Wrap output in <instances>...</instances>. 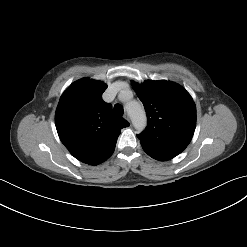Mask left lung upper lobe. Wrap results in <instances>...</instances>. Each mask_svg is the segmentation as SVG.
Listing matches in <instances>:
<instances>
[{
    "instance_id": "obj_1",
    "label": "left lung upper lobe",
    "mask_w": 247,
    "mask_h": 247,
    "mask_svg": "<svg viewBox=\"0 0 247 247\" xmlns=\"http://www.w3.org/2000/svg\"><path fill=\"white\" fill-rule=\"evenodd\" d=\"M132 87L148 118L146 130L137 135L140 142L164 152L184 151L196 126V106L188 92L168 81L132 82Z\"/></svg>"
}]
</instances>
